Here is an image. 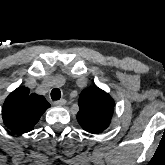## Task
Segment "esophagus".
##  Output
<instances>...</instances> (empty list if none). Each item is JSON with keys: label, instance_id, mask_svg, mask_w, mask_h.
Returning a JSON list of instances; mask_svg holds the SVG:
<instances>
[{"label": "esophagus", "instance_id": "obj_1", "mask_svg": "<svg viewBox=\"0 0 165 165\" xmlns=\"http://www.w3.org/2000/svg\"><path fill=\"white\" fill-rule=\"evenodd\" d=\"M55 106H62L65 104V100L64 99H61L59 101H54L53 103Z\"/></svg>", "mask_w": 165, "mask_h": 165}]
</instances>
